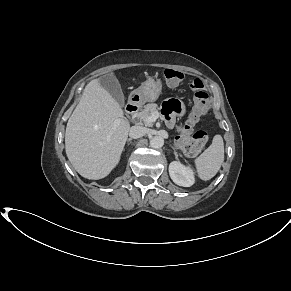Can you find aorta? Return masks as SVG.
<instances>
[{"label":"aorta","instance_id":"aorta-1","mask_svg":"<svg viewBox=\"0 0 291 291\" xmlns=\"http://www.w3.org/2000/svg\"><path fill=\"white\" fill-rule=\"evenodd\" d=\"M164 145V139L160 136H155L150 140V146L155 149H159Z\"/></svg>","mask_w":291,"mask_h":291}]
</instances>
